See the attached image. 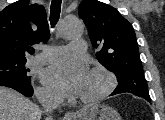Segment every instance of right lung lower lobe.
Returning <instances> with one entry per match:
<instances>
[{"label": "right lung lower lobe", "instance_id": "right-lung-lower-lobe-1", "mask_svg": "<svg viewBox=\"0 0 165 120\" xmlns=\"http://www.w3.org/2000/svg\"><path fill=\"white\" fill-rule=\"evenodd\" d=\"M0 86H6L15 89L27 97H30L33 94V88L30 83L23 81L0 79Z\"/></svg>", "mask_w": 165, "mask_h": 120}]
</instances>
